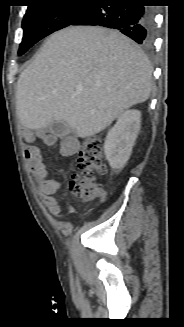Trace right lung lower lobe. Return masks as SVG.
<instances>
[{
    "label": "right lung lower lobe",
    "instance_id": "right-lung-lower-lobe-1",
    "mask_svg": "<svg viewBox=\"0 0 184 327\" xmlns=\"http://www.w3.org/2000/svg\"><path fill=\"white\" fill-rule=\"evenodd\" d=\"M138 3H143V0H95L72 25L117 29L139 44L151 45L154 35L153 13L149 7Z\"/></svg>",
    "mask_w": 184,
    "mask_h": 327
}]
</instances>
